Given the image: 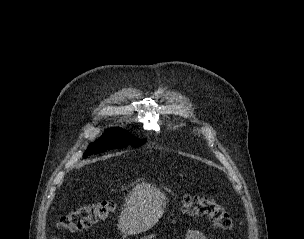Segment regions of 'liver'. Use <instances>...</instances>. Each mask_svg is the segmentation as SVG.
<instances>
[{"mask_svg":"<svg viewBox=\"0 0 304 239\" xmlns=\"http://www.w3.org/2000/svg\"><path fill=\"white\" fill-rule=\"evenodd\" d=\"M166 200L165 194L155 185L136 184L125 198L118 229L125 234H139L152 228L163 216Z\"/></svg>","mask_w":304,"mask_h":239,"instance_id":"obj_1","label":"liver"}]
</instances>
